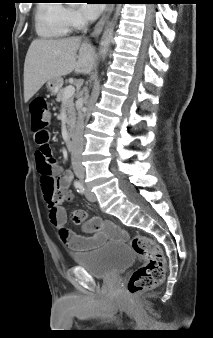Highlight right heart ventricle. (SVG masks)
Listing matches in <instances>:
<instances>
[{"label": "right heart ventricle", "mask_w": 213, "mask_h": 338, "mask_svg": "<svg viewBox=\"0 0 213 338\" xmlns=\"http://www.w3.org/2000/svg\"><path fill=\"white\" fill-rule=\"evenodd\" d=\"M64 7L54 3H43L37 8L36 29L40 36L58 38L65 36L70 27L63 20Z\"/></svg>", "instance_id": "e07e8e85"}]
</instances>
